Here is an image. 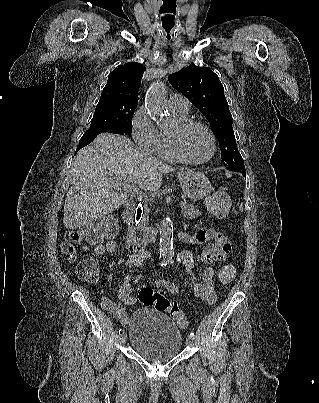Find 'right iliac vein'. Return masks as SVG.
Returning <instances> with one entry per match:
<instances>
[{"instance_id":"obj_1","label":"right iliac vein","mask_w":319,"mask_h":403,"mask_svg":"<svg viewBox=\"0 0 319 403\" xmlns=\"http://www.w3.org/2000/svg\"><path fill=\"white\" fill-rule=\"evenodd\" d=\"M119 342H120L121 344H124V343L126 342V333H125V332H123V333H121V334L119 335Z\"/></svg>"}]
</instances>
